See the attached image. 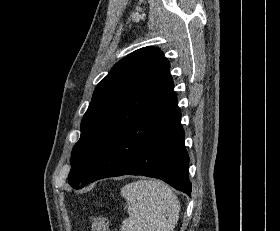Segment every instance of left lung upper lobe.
Returning <instances> with one entry per match:
<instances>
[{"label":"left lung upper lobe","mask_w":280,"mask_h":231,"mask_svg":"<svg viewBox=\"0 0 280 231\" xmlns=\"http://www.w3.org/2000/svg\"><path fill=\"white\" fill-rule=\"evenodd\" d=\"M169 62L155 47L138 49L117 62L96 86L71 154L68 183L77 189L98 157L126 127L150 113L174 84Z\"/></svg>","instance_id":"left-lung-upper-lobe-1"}]
</instances>
